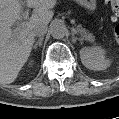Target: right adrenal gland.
<instances>
[{"mask_svg": "<svg viewBox=\"0 0 119 119\" xmlns=\"http://www.w3.org/2000/svg\"><path fill=\"white\" fill-rule=\"evenodd\" d=\"M43 39H44L43 35L42 36H39V39L35 42L33 48L34 49H37V46L41 47L42 46Z\"/></svg>", "mask_w": 119, "mask_h": 119, "instance_id": "2a0ac1e0", "label": "right adrenal gland"}]
</instances>
